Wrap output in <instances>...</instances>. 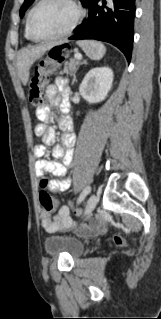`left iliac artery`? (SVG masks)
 <instances>
[{"instance_id": "44dca946", "label": "left iliac artery", "mask_w": 161, "mask_h": 319, "mask_svg": "<svg viewBox=\"0 0 161 319\" xmlns=\"http://www.w3.org/2000/svg\"><path fill=\"white\" fill-rule=\"evenodd\" d=\"M90 191H91V188L88 186V187H86L83 191H82V193L80 194V196H79V198H78V200H77V204H80L84 199H85V197L90 193Z\"/></svg>"}]
</instances>
